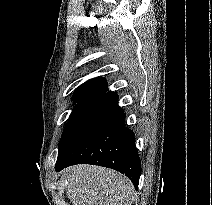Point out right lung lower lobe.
<instances>
[{"label":"right lung lower lobe","mask_w":212,"mask_h":205,"mask_svg":"<svg viewBox=\"0 0 212 205\" xmlns=\"http://www.w3.org/2000/svg\"><path fill=\"white\" fill-rule=\"evenodd\" d=\"M117 100V94L111 91L101 96L94 113L58 157L56 171L74 164L105 166L125 174L138 188L140 158L134 143V133L125 128V114Z\"/></svg>","instance_id":"1"}]
</instances>
